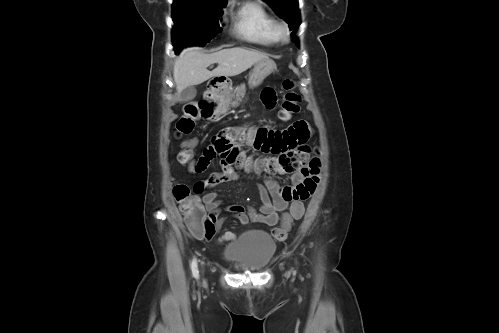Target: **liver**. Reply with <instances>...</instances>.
<instances>
[{
    "instance_id": "liver-1",
    "label": "liver",
    "mask_w": 499,
    "mask_h": 333,
    "mask_svg": "<svg viewBox=\"0 0 499 333\" xmlns=\"http://www.w3.org/2000/svg\"><path fill=\"white\" fill-rule=\"evenodd\" d=\"M266 59L269 57L265 53L241 47L223 49L212 54H204L197 47L186 48L173 66L177 93L190 86L199 85L211 77L239 75L255 63ZM213 63L218 66L209 71L207 67Z\"/></svg>"
}]
</instances>
